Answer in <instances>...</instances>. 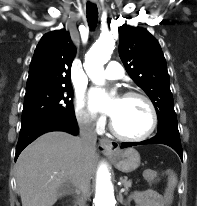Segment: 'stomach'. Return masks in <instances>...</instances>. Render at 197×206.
I'll return each instance as SVG.
<instances>
[{
    "instance_id": "obj_1",
    "label": "stomach",
    "mask_w": 197,
    "mask_h": 206,
    "mask_svg": "<svg viewBox=\"0 0 197 206\" xmlns=\"http://www.w3.org/2000/svg\"><path fill=\"white\" fill-rule=\"evenodd\" d=\"M116 168L124 173L136 170L141 163L140 154L134 148L117 150L108 154Z\"/></svg>"
}]
</instances>
